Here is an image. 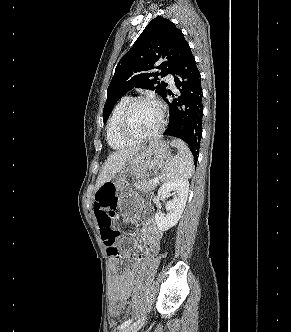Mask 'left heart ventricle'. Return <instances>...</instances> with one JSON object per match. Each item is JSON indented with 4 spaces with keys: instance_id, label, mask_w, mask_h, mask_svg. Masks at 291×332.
<instances>
[{
    "instance_id": "b2bd125f",
    "label": "left heart ventricle",
    "mask_w": 291,
    "mask_h": 332,
    "mask_svg": "<svg viewBox=\"0 0 291 332\" xmlns=\"http://www.w3.org/2000/svg\"><path fill=\"white\" fill-rule=\"evenodd\" d=\"M160 125V112L151 102H140L132 110L128 120V130L136 136L150 135Z\"/></svg>"
}]
</instances>
